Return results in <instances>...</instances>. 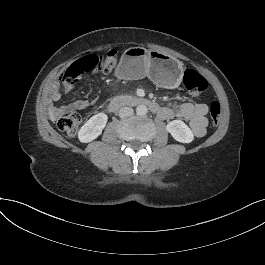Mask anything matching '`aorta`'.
Returning a JSON list of instances; mask_svg holds the SVG:
<instances>
[{"label": "aorta", "instance_id": "obj_1", "mask_svg": "<svg viewBox=\"0 0 265 265\" xmlns=\"http://www.w3.org/2000/svg\"><path fill=\"white\" fill-rule=\"evenodd\" d=\"M147 107L145 105H138L137 108H136V114L138 116H144L147 114Z\"/></svg>", "mask_w": 265, "mask_h": 265}]
</instances>
